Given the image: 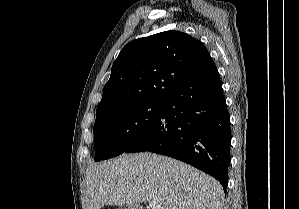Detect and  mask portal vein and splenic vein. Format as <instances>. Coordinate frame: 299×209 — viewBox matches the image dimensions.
Wrapping results in <instances>:
<instances>
[{
  "instance_id": "1",
  "label": "portal vein and splenic vein",
  "mask_w": 299,
  "mask_h": 209,
  "mask_svg": "<svg viewBox=\"0 0 299 209\" xmlns=\"http://www.w3.org/2000/svg\"><path fill=\"white\" fill-rule=\"evenodd\" d=\"M149 208L150 209H164L160 205H158L155 201L149 202Z\"/></svg>"
}]
</instances>
